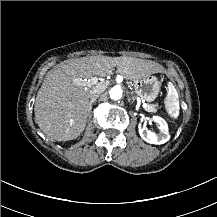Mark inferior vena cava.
Wrapping results in <instances>:
<instances>
[{"mask_svg":"<svg viewBox=\"0 0 217 217\" xmlns=\"http://www.w3.org/2000/svg\"><path fill=\"white\" fill-rule=\"evenodd\" d=\"M108 86V81H102L97 83L94 87H92L89 91V98L91 100L96 99Z\"/></svg>","mask_w":217,"mask_h":217,"instance_id":"inferior-vena-cava-1","label":"inferior vena cava"}]
</instances>
